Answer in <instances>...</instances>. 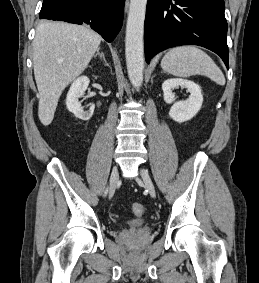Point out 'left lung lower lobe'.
<instances>
[{
    "instance_id": "left-lung-lower-lobe-1",
    "label": "left lung lower lobe",
    "mask_w": 259,
    "mask_h": 283,
    "mask_svg": "<svg viewBox=\"0 0 259 283\" xmlns=\"http://www.w3.org/2000/svg\"><path fill=\"white\" fill-rule=\"evenodd\" d=\"M224 0H148L145 57L180 45H199L218 54L228 65Z\"/></svg>"
}]
</instances>
